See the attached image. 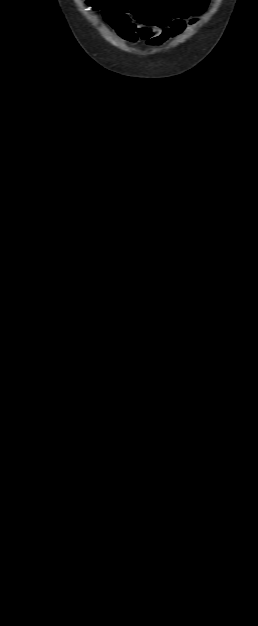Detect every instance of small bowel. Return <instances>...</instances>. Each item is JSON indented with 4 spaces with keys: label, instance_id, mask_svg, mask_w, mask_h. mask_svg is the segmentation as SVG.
<instances>
[{
    "label": "small bowel",
    "instance_id": "c3829d8e",
    "mask_svg": "<svg viewBox=\"0 0 258 626\" xmlns=\"http://www.w3.org/2000/svg\"><path fill=\"white\" fill-rule=\"evenodd\" d=\"M97 6L98 0L90 1ZM209 0H175L166 3L152 22L133 23L128 10H118L116 0H105L103 14L109 24L129 43L143 41L148 46H160L181 34L188 22L204 12Z\"/></svg>",
    "mask_w": 258,
    "mask_h": 626
}]
</instances>
